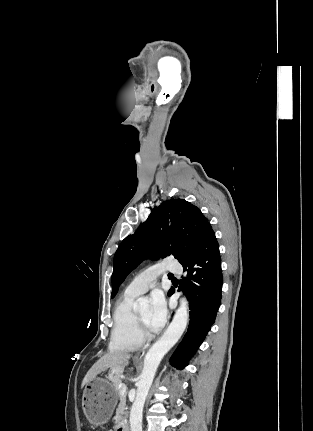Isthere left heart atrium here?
I'll use <instances>...</instances> for the list:
<instances>
[{"instance_id":"39dd6f15","label":"left heart atrium","mask_w":313,"mask_h":431,"mask_svg":"<svg viewBox=\"0 0 313 431\" xmlns=\"http://www.w3.org/2000/svg\"><path fill=\"white\" fill-rule=\"evenodd\" d=\"M167 319V306L162 293L154 292L151 296V306L148 325L151 331L160 330Z\"/></svg>"}]
</instances>
